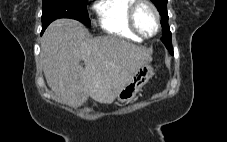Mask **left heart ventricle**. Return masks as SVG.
<instances>
[{"mask_svg": "<svg viewBox=\"0 0 227 142\" xmlns=\"http://www.w3.org/2000/svg\"><path fill=\"white\" fill-rule=\"evenodd\" d=\"M136 20L138 27L144 34L150 35L155 31V15L149 7L142 6L137 12Z\"/></svg>", "mask_w": 227, "mask_h": 142, "instance_id": "obj_1", "label": "left heart ventricle"}]
</instances>
